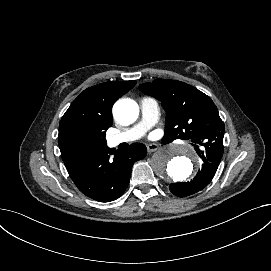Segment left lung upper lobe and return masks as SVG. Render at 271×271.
<instances>
[{
    "label": "left lung upper lobe",
    "mask_w": 271,
    "mask_h": 271,
    "mask_svg": "<svg viewBox=\"0 0 271 271\" xmlns=\"http://www.w3.org/2000/svg\"><path fill=\"white\" fill-rule=\"evenodd\" d=\"M139 89L161 101L167 111L162 140L190 139L204 148L223 151L224 122L206 94L184 82L166 79L141 84Z\"/></svg>",
    "instance_id": "left-lung-upper-lobe-1"
}]
</instances>
